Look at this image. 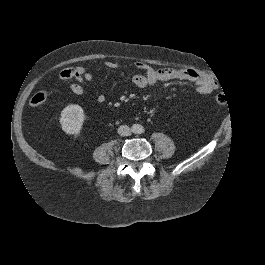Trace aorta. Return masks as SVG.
Masks as SVG:
<instances>
[{
  "instance_id": "aorta-1",
  "label": "aorta",
  "mask_w": 265,
  "mask_h": 265,
  "mask_svg": "<svg viewBox=\"0 0 265 265\" xmlns=\"http://www.w3.org/2000/svg\"><path fill=\"white\" fill-rule=\"evenodd\" d=\"M131 130H132L133 133H136V134L142 133L143 132V126L140 125V124H134L132 126Z\"/></svg>"
}]
</instances>
